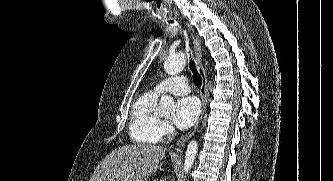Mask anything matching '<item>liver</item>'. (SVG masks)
<instances>
[{
  "label": "liver",
  "instance_id": "1",
  "mask_svg": "<svg viewBox=\"0 0 333 181\" xmlns=\"http://www.w3.org/2000/svg\"><path fill=\"white\" fill-rule=\"evenodd\" d=\"M165 152L156 145L120 146L98 164L90 181H146L161 169Z\"/></svg>",
  "mask_w": 333,
  "mask_h": 181
}]
</instances>
